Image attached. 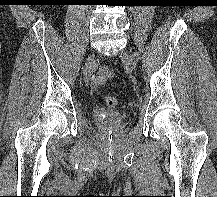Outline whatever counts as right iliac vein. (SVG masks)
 Returning <instances> with one entry per match:
<instances>
[{
	"label": "right iliac vein",
	"instance_id": "obj_1",
	"mask_svg": "<svg viewBox=\"0 0 217 197\" xmlns=\"http://www.w3.org/2000/svg\"><path fill=\"white\" fill-rule=\"evenodd\" d=\"M95 64V55L94 53H90L86 59L84 69H83V77H87L91 74L93 67Z\"/></svg>",
	"mask_w": 217,
	"mask_h": 197
}]
</instances>
